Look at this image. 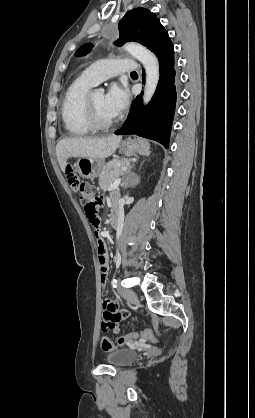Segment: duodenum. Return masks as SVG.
<instances>
[{"instance_id": "obj_1", "label": "duodenum", "mask_w": 255, "mask_h": 418, "mask_svg": "<svg viewBox=\"0 0 255 418\" xmlns=\"http://www.w3.org/2000/svg\"><path fill=\"white\" fill-rule=\"evenodd\" d=\"M110 226L118 230L120 228V210L117 205H113L109 219Z\"/></svg>"}]
</instances>
